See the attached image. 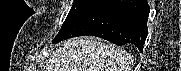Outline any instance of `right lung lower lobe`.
<instances>
[{"label": "right lung lower lobe", "instance_id": "98d812e1", "mask_svg": "<svg viewBox=\"0 0 181 71\" xmlns=\"http://www.w3.org/2000/svg\"><path fill=\"white\" fill-rule=\"evenodd\" d=\"M149 12L147 0H94L61 28L53 43L93 35L116 45L132 44L143 52Z\"/></svg>", "mask_w": 181, "mask_h": 71}]
</instances>
